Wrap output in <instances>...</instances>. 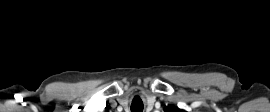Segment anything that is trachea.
<instances>
[{"instance_id":"3493384b","label":"trachea","mask_w":270,"mask_h":112,"mask_svg":"<svg viewBox=\"0 0 270 112\" xmlns=\"http://www.w3.org/2000/svg\"><path fill=\"white\" fill-rule=\"evenodd\" d=\"M131 112H143V102L140 97L136 96L131 104Z\"/></svg>"}]
</instances>
